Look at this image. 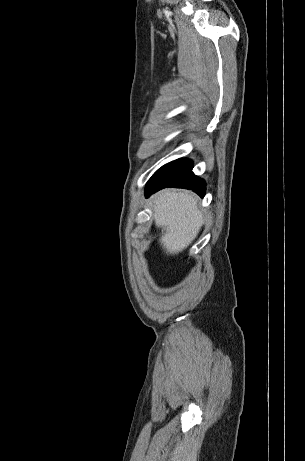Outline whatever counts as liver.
Returning a JSON list of instances; mask_svg holds the SVG:
<instances>
[{"instance_id":"1","label":"liver","mask_w":305,"mask_h":461,"mask_svg":"<svg viewBox=\"0 0 305 461\" xmlns=\"http://www.w3.org/2000/svg\"><path fill=\"white\" fill-rule=\"evenodd\" d=\"M154 221L166 232L160 243L167 254H178L197 237L204 221L196 198L188 191L163 190L153 196Z\"/></svg>"}]
</instances>
